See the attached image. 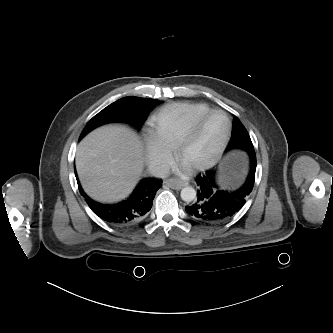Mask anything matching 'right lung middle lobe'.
Instances as JSON below:
<instances>
[{
  "label": "right lung middle lobe",
  "instance_id": "dd1d6c3e",
  "mask_svg": "<svg viewBox=\"0 0 333 333\" xmlns=\"http://www.w3.org/2000/svg\"><path fill=\"white\" fill-rule=\"evenodd\" d=\"M158 104L156 99L124 97L95 115L85 126L79 140L92 129L109 122H126L139 127Z\"/></svg>",
  "mask_w": 333,
  "mask_h": 333
}]
</instances>
